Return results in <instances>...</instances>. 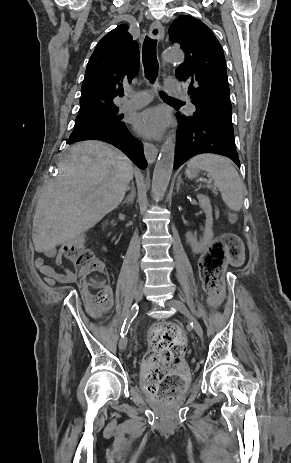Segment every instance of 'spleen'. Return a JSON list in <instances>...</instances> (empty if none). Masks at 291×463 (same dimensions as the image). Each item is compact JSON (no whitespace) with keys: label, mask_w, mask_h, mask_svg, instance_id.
<instances>
[{"label":"spleen","mask_w":291,"mask_h":463,"mask_svg":"<svg viewBox=\"0 0 291 463\" xmlns=\"http://www.w3.org/2000/svg\"><path fill=\"white\" fill-rule=\"evenodd\" d=\"M187 166L208 172L213 179L212 187L221 192L222 200L229 209L237 212L242 208L244 184L229 159L215 154H201L193 157Z\"/></svg>","instance_id":"3e777b00"}]
</instances>
